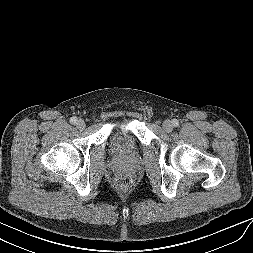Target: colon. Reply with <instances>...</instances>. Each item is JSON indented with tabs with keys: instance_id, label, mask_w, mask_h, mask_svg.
Segmentation results:
<instances>
[{
	"instance_id": "obj_1",
	"label": "colon",
	"mask_w": 253,
	"mask_h": 253,
	"mask_svg": "<svg viewBox=\"0 0 253 253\" xmlns=\"http://www.w3.org/2000/svg\"><path fill=\"white\" fill-rule=\"evenodd\" d=\"M132 179L129 176H120L117 179V185L118 187L122 189H127L131 186Z\"/></svg>"
}]
</instances>
